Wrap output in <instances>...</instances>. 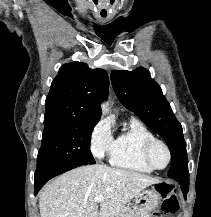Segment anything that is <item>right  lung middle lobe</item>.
Returning a JSON list of instances; mask_svg holds the SVG:
<instances>
[{
    "mask_svg": "<svg viewBox=\"0 0 211 217\" xmlns=\"http://www.w3.org/2000/svg\"><path fill=\"white\" fill-rule=\"evenodd\" d=\"M97 122L75 118L44 120L37 169L56 164H94L95 160L90 151V140Z\"/></svg>",
    "mask_w": 211,
    "mask_h": 217,
    "instance_id": "right-lung-middle-lobe-1",
    "label": "right lung middle lobe"
}]
</instances>
